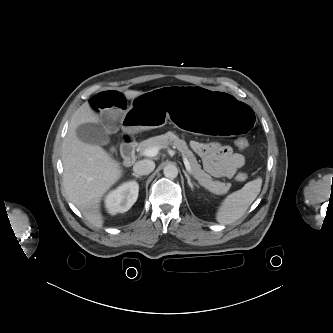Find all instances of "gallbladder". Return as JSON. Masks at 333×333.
I'll return each instance as SVG.
<instances>
[{"label": "gallbladder", "instance_id": "1", "mask_svg": "<svg viewBox=\"0 0 333 333\" xmlns=\"http://www.w3.org/2000/svg\"><path fill=\"white\" fill-rule=\"evenodd\" d=\"M77 137L84 143L92 145H107L110 142L106 130L95 123H84L76 128Z\"/></svg>", "mask_w": 333, "mask_h": 333}]
</instances>
